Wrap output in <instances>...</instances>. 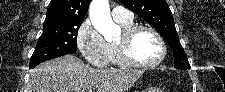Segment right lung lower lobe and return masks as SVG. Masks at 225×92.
Instances as JSON below:
<instances>
[{"instance_id":"98d812e1","label":"right lung lower lobe","mask_w":225,"mask_h":92,"mask_svg":"<svg viewBox=\"0 0 225 92\" xmlns=\"http://www.w3.org/2000/svg\"><path fill=\"white\" fill-rule=\"evenodd\" d=\"M44 62V61H43ZM41 62H36V63H32L30 64V68H34L36 67L38 64H40Z\"/></svg>"}]
</instances>
